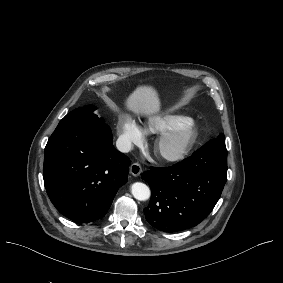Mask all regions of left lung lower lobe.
Segmentation results:
<instances>
[{
  "label": "left lung lower lobe",
  "instance_id": "obj_1",
  "mask_svg": "<svg viewBox=\"0 0 283 283\" xmlns=\"http://www.w3.org/2000/svg\"><path fill=\"white\" fill-rule=\"evenodd\" d=\"M227 177L225 141L212 139L171 167H151L142 174L152 191L146 220L164 232L196 226L213 210Z\"/></svg>",
  "mask_w": 283,
  "mask_h": 283
}]
</instances>
